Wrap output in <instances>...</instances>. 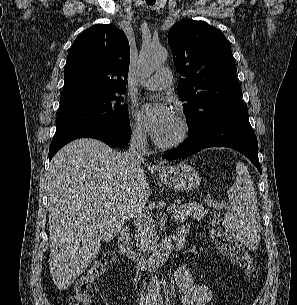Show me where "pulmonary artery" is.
<instances>
[{
	"label": "pulmonary artery",
	"instance_id": "obj_1",
	"mask_svg": "<svg viewBox=\"0 0 297 305\" xmlns=\"http://www.w3.org/2000/svg\"><path fill=\"white\" fill-rule=\"evenodd\" d=\"M173 81V76L168 68H160L157 72L144 82L149 90H163L168 88Z\"/></svg>",
	"mask_w": 297,
	"mask_h": 305
}]
</instances>
